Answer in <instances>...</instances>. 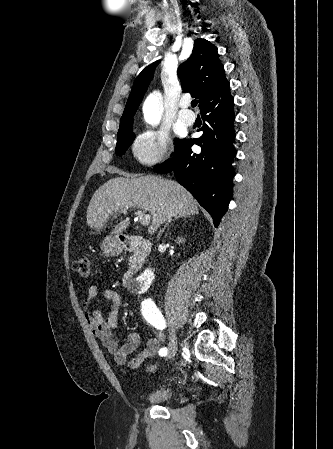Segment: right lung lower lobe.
<instances>
[{
	"label": "right lung lower lobe",
	"mask_w": 333,
	"mask_h": 449,
	"mask_svg": "<svg viewBox=\"0 0 333 449\" xmlns=\"http://www.w3.org/2000/svg\"><path fill=\"white\" fill-rule=\"evenodd\" d=\"M233 104L230 88L205 102L200 107L206 121L199 129L203 135L179 140L173 157L153 169L161 174L173 172L178 182L209 212L215 227L227 211L233 193L231 163L236 155ZM193 144L201 147V153H192Z\"/></svg>",
	"instance_id": "98d812e1"
}]
</instances>
